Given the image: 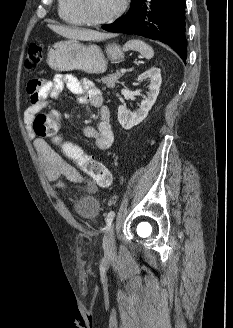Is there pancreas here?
<instances>
[{
	"label": "pancreas",
	"instance_id": "obj_1",
	"mask_svg": "<svg viewBox=\"0 0 233 328\" xmlns=\"http://www.w3.org/2000/svg\"><path fill=\"white\" fill-rule=\"evenodd\" d=\"M123 74L117 72L114 74H110L108 76L103 77L101 80H98V82H102L103 84H105L108 88H114L115 84L118 82V80L120 79V77Z\"/></svg>",
	"mask_w": 233,
	"mask_h": 328
}]
</instances>
